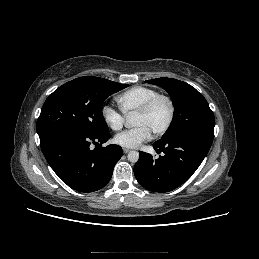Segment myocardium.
Wrapping results in <instances>:
<instances>
[{"label": "myocardium", "mask_w": 259, "mask_h": 259, "mask_svg": "<svg viewBox=\"0 0 259 259\" xmlns=\"http://www.w3.org/2000/svg\"><path fill=\"white\" fill-rule=\"evenodd\" d=\"M164 100L168 104L169 107V116L165 123V125L160 128L158 131L154 133L155 136L164 135L172 126L174 118H175V104L172 98L166 94H156L153 97L149 98L136 112L138 115H146L150 112L153 106L159 101Z\"/></svg>", "instance_id": "myocardium-1"}]
</instances>
